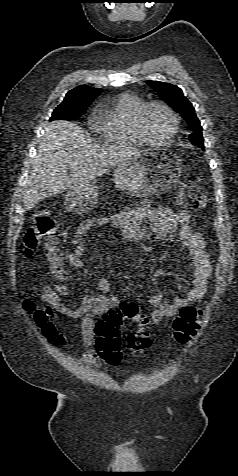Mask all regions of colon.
<instances>
[{"mask_svg": "<svg viewBox=\"0 0 238 476\" xmlns=\"http://www.w3.org/2000/svg\"><path fill=\"white\" fill-rule=\"evenodd\" d=\"M179 204L188 210H201L206 207L208 199L202 188L193 182H183L178 196ZM56 222L46 210L37 211L27 229L24 238L25 254L33 255L43 246L50 245L56 233ZM50 265L55 276L66 278L60 257L57 253L50 256ZM27 309H32L30 302L25 304ZM49 310H38L35 320L42 328L45 337L55 344H62L63 336L57 331L55 325L48 320ZM203 311L200 308L186 306L179 311L173 320V336L178 344L191 341L202 326ZM125 320H137L139 327L129 333L124 340V348L133 353H142L151 345L148 332L149 318L141 314L134 303H121L116 308L109 309L98 320L96 325V350L101 359L111 365H117L122 356V341L120 327Z\"/></svg>", "mask_w": 238, "mask_h": 476, "instance_id": "colon-1", "label": "colon"}]
</instances>
